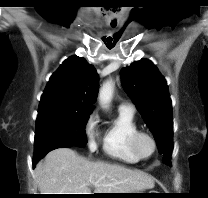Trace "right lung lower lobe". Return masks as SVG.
<instances>
[{
    "label": "right lung lower lobe",
    "mask_w": 208,
    "mask_h": 198,
    "mask_svg": "<svg viewBox=\"0 0 208 198\" xmlns=\"http://www.w3.org/2000/svg\"><path fill=\"white\" fill-rule=\"evenodd\" d=\"M71 146H72V145L66 144V143H57V144L51 146L50 148H48V149L45 151V155H46L48 152H50V151H52V150H54V149L62 148V147L69 148V147H71ZM45 155H44V156H45ZM42 157H43V156H42ZM42 157H41V156H35V158H34V160H33V165H35Z\"/></svg>",
    "instance_id": "98d812e1"
}]
</instances>
